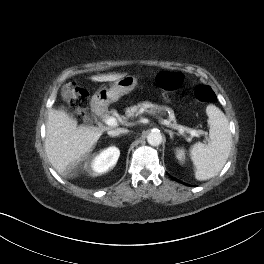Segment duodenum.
I'll use <instances>...</instances> for the list:
<instances>
[{"label": "duodenum", "instance_id": "obj_1", "mask_svg": "<svg viewBox=\"0 0 264 264\" xmlns=\"http://www.w3.org/2000/svg\"><path fill=\"white\" fill-rule=\"evenodd\" d=\"M93 113H94L95 115H100V114H101V110H100V108H99L98 106H94V107H93Z\"/></svg>", "mask_w": 264, "mask_h": 264}]
</instances>
